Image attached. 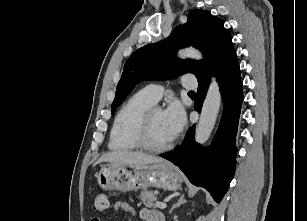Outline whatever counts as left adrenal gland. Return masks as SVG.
<instances>
[{
  "label": "left adrenal gland",
  "instance_id": "left-adrenal-gland-1",
  "mask_svg": "<svg viewBox=\"0 0 307 221\" xmlns=\"http://www.w3.org/2000/svg\"><path fill=\"white\" fill-rule=\"evenodd\" d=\"M187 202V200H185L184 198V195H181L177 201L176 204H174L170 210V214L172 213V211L175 209V208H178L179 206H181L182 204H185Z\"/></svg>",
  "mask_w": 307,
  "mask_h": 221
}]
</instances>
